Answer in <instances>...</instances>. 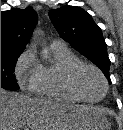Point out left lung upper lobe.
I'll return each mask as SVG.
<instances>
[{
  "instance_id": "1",
  "label": "left lung upper lobe",
  "mask_w": 123,
  "mask_h": 130,
  "mask_svg": "<svg viewBox=\"0 0 123 130\" xmlns=\"http://www.w3.org/2000/svg\"><path fill=\"white\" fill-rule=\"evenodd\" d=\"M49 17L61 37L99 67L110 81L107 45L91 15L80 7L64 6L51 10Z\"/></svg>"
}]
</instances>
